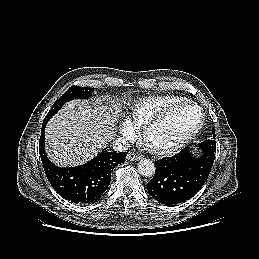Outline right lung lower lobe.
Returning a JSON list of instances; mask_svg holds the SVG:
<instances>
[{
    "mask_svg": "<svg viewBox=\"0 0 259 259\" xmlns=\"http://www.w3.org/2000/svg\"><path fill=\"white\" fill-rule=\"evenodd\" d=\"M44 119L39 141V153L45 174L52 187L65 199L74 203H90L102 196L111 181L115 166L125 161L126 152H103L84 165L60 168L53 165L45 153Z\"/></svg>",
    "mask_w": 259,
    "mask_h": 259,
    "instance_id": "obj_1",
    "label": "right lung lower lobe"
}]
</instances>
